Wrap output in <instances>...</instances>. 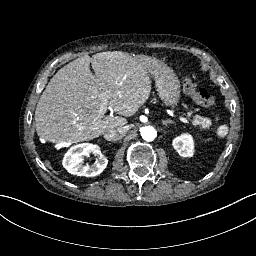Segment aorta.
<instances>
[{"mask_svg": "<svg viewBox=\"0 0 256 256\" xmlns=\"http://www.w3.org/2000/svg\"><path fill=\"white\" fill-rule=\"evenodd\" d=\"M140 132L142 139L147 142H152L157 137V131L151 126L143 127Z\"/></svg>", "mask_w": 256, "mask_h": 256, "instance_id": "762f6f07", "label": "aorta"}]
</instances>
